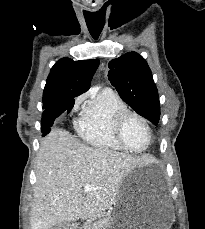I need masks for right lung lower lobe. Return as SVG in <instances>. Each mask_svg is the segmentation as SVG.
Here are the masks:
<instances>
[{
  "label": "right lung lower lobe",
  "mask_w": 205,
  "mask_h": 229,
  "mask_svg": "<svg viewBox=\"0 0 205 229\" xmlns=\"http://www.w3.org/2000/svg\"><path fill=\"white\" fill-rule=\"evenodd\" d=\"M74 102L75 101L73 98L62 100L48 107L43 112L41 120V130L43 133L42 136H46L50 132V127L53 125L54 120L59 115H61L64 111H67V113L71 111L74 106Z\"/></svg>",
  "instance_id": "1"
}]
</instances>
